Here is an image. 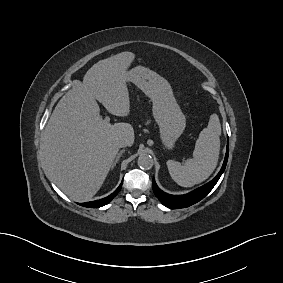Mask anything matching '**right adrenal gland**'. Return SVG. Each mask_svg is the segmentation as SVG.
Here are the masks:
<instances>
[{"instance_id":"right-adrenal-gland-1","label":"right adrenal gland","mask_w":283,"mask_h":283,"mask_svg":"<svg viewBox=\"0 0 283 283\" xmlns=\"http://www.w3.org/2000/svg\"><path fill=\"white\" fill-rule=\"evenodd\" d=\"M124 152H125V150L123 149V150H121V151L118 153L117 157L115 158V160H114V162H113V164H112L111 169H113V168L116 166V164L118 163L120 157L122 156V154H123Z\"/></svg>"}]
</instances>
